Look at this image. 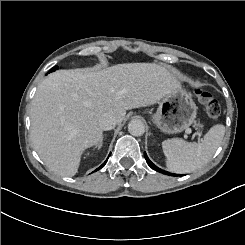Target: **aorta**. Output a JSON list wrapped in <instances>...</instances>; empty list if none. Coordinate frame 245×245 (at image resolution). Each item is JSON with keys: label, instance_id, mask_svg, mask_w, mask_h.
Instances as JSON below:
<instances>
[{"label": "aorta", "instance_id": "obj_1", "mask_svg": "<svg viewBox=\"0 0 245 245\" xmlns=\"http://www.w3.org/2000/svg\"><path fill=\"white\" fill-rule=\"evenodd\" d=\"M128 131L133 136H142L145 132V126L140 120H131L128 124Z\"/></svg>", "mask_w": 245, "mask_h": 245}]
</instances>
